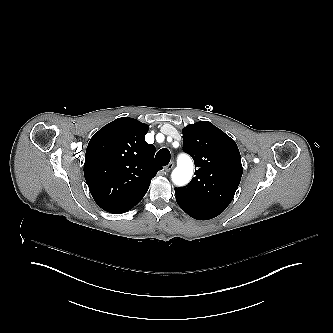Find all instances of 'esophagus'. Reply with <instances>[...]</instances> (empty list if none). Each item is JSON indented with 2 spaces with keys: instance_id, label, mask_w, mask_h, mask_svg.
Segmentation results:
<instances>
[{
  "instance_id": "esophagus-1",
  "label": "esophagus",
  "mask_w": 333,
  "mask_h": 333,
  "mask_svg": "<svg viewBox=\"0 0 333 333\" xmlns=\"http://www.w3.org/2000/svg\"><path fill=\"white\" fill-rule=\"evenodd\" d=\"M174 162L171 161L166 167H165V171L169 172L173 167H174Z\"/></svg>"
}]
</instances>
